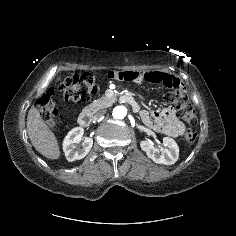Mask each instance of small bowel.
I'll list each match as a JSON object with an SVG mask.
<instances>
[{
	"mask_svg": "<svg viewBox=\"0 0 236 236\" xmlns=\"http://www.w3.org/2000/svg\"><path fill=\"white\" fill-rule=\"evenodd\" d=\"M106 76L111 81H117L118 83L127 82H147L152 84H160L166 87H179L180 81L165 72L162 71H145L139 72L132 68L120 72L116 68H111L107 71ZM141 118L143 122L153 128L155 131L171 136L178 137L184 133V125L176 118L175 112L171 108H165L163 110L141 112Z\"/></svg>",
	"mask_w": 236,
	"mask_h": 236,
	"instance_id": "1",
	"label": "small bowel"
}]
</instances>
